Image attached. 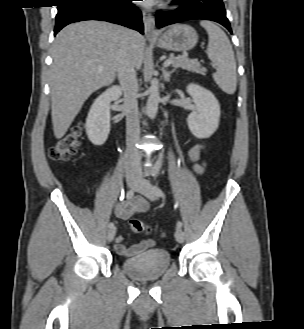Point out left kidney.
Returning a JSON list of instances; mask_svg holds the SVG:
<instances>
[{"instance_id":"obj_1","label":"left kidney","mask_w":304,"mask_h":329,"mask_svg":"<svg viewBox=\"0 0 304 329\" xmlns=\"http://www.w3.org/2000/svg\"><path fill=\"white\" fill-rule=\"evenodd\" d=\"M186 91L195 104L193 112L187 118L189 130L199 139L209 138L219 126V102L212 92L197 84H189Z\"/></svg>"}]
</instances>
